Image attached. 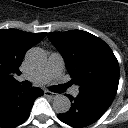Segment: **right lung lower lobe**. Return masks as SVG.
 Segmentation results:
<instances>
[{
    "instance_id": "obj_1",
    "label": "right lung lower lobe",
    "mask_w": 128,
    "mask_h": 128,
    "mask_svg": "<svg viewBox=\"0 0 128 128\" xmlns=\"http://www.w3.org/2000/svg\"><path fill=\"white\" fill-rule=\"evenodd\" d=\"M43 93L40 88L27 89L21 85L1 93L0 127L13 128L25 122L30 115L34 100Z\"/></svg>"
}]
</instances>
